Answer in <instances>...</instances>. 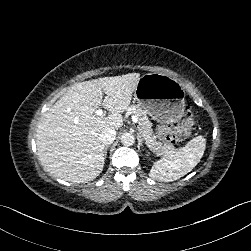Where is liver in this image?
<instances>
[{
    "label": "liver",
    "instance_id": "6515ba94",
    "mask_svg": "<svg viewBox=\"0 0 251 251\" xmlns=\"http://www.w3.org/2000/svg\"><path fill=\"white\" fill-rule=\"evenodd\" d=\"M139 78L138 73H130L80 82L42 115L36 145L40 161L50 174L83 184L101 173L104 148L99 135L104 129L122 125L120 113L129 106ZM100 106L109 111L108 117L95 114Z\"/></svg>",
    "mask_w": 251,
    "mask_h": 251
}]
</instances>
